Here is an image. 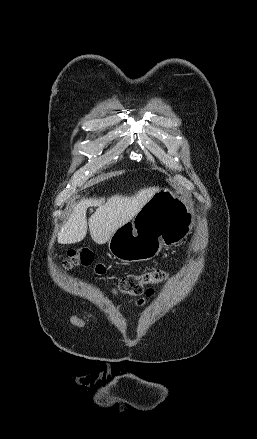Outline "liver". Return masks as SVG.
I'll return each mask as SVG.
<instances>
[{"instance_id":"liver-1","label":"liver","mask_w":257,"mask_h":439,"mask_svg":"<svg viewBox=\"0 0 257 439\" xmlns=\"http://www.w3.org/2000/svg\"><path fill=\"white\" fill-rule=\"evenodd\" d=\"M158 190L159 187L143 188L131 197L116 194L106 201L102 197L82 199L75 205L68 221L62 227L58 242L72 244L82 241L87 234L88 224L90 235L96 243L109 242L112 234L132 220ZM90 206L97 209L87 223L86 211Z\"/></svg>"}]
</instances>
